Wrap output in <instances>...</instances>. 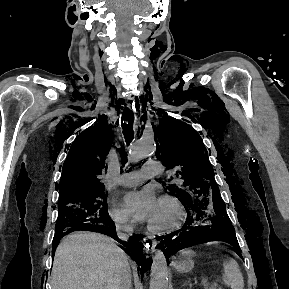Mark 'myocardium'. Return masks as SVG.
<instances>
[{"label":"myocardium","mask_w":289,"mask_h":289,"mask_svg":"<svg viewBox=\"0 0 289 289\" xmlns=\"http://www.w3.org/2000/svg\"><path fill=\"white\" fill-rule=\"evenodd\" d=\"M159 202L170 205L175 210L176 217L172 222L162 226H156L153 225L151 222H149L148 224L149 231L155 234H162L179 228L183 224L186 216V212L182 203L173 196H162Z\"/></svg>","instance_id":"f54148a6"}]
</instances>
